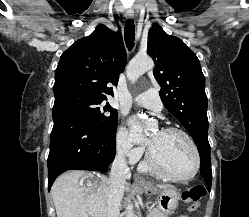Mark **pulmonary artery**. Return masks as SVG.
Returning <instances> with one entry per match:
<instances>
[{
  "instance_id": "1",
  "label": "pulmonary artery",
  "mask_w": 249,
  "mask_h": 217,
  "mask_svg": "<svg viewBox=\"0 0 249 217\" xmlns=\"http://www.w3.org/2000/svg\"><path fill=\"white\" fill-rule=\"evenodd\" d=\"M134 101L148 109L157 112L161 111L163 108L162 101L158 91L155 88H150L147 91L139 94L134 98Z\"/></svg>"
}]
</instances>
